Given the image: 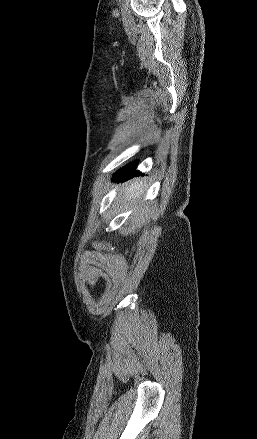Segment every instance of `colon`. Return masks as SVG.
Returning a JSON list of instances; mask_svg holds the SVG:
<instances>
[{
    "mask_svg": "<svg viewBox=\"0 0 257 439\" xmlns=\"http://www.w3.org/2000/svg\"><path fill=\"white\" fill-rule=\"evenodd\" d=\"M94 280H95L94 276H91V277H90V281H91V283H93Z\"/></svg>",
    "mask_w": 257,
    "mask_h": 439,
    "instance_id": "1",
    "label": "colon"
}]
</instances>
